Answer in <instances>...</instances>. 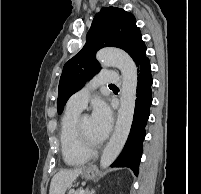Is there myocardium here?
<instances>
[{"label":"myocardium","mask_w":201,"mask_h":194,"mask_svg":"<svg viewBox=\"0 0 201 194\" xmlns=\"http://www.w3.org/2000/svg\"><path fill=\"white\" fill-rule=\"evenodd\" d=\"M83 117L79 118L77 120L76 123V133H77V137H78V141L80 144V147L87 153H89L90 155L92 153H94L99 147H100V143H92L90 142L87 137L85 136L82 127H81V120Z\"/></svg>","instance_id":"1"}]
</instances>
